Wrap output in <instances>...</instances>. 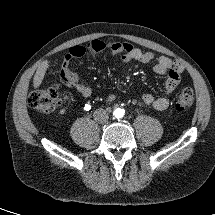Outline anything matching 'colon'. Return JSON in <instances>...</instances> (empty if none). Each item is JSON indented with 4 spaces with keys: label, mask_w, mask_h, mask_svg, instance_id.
<instances>
[{
    "label": "colon",
    "mask_w": 215,
    "mask_h": 215,
    "mask_svg": "<svg viewBox=\"0 0 215 215\" xmlns=\"http://www.w3.org/2000/svg\"><path fill=\"white\" fill-rule=\"evenodd\" d=\"M58 74L61 83L69 86L66 79L64 78V71L62 66L58 70ZM66 98H68V96L62 93L61 85H53L50 87L41 88L33 92L29 98V104L37 109L50 110L59 105L62 100ZM193 100V89L190 87L185 88L180 94V97L175 104V108L179 111L185 110L192 105Z\"/></svg>",
    "instance_id": "colon-1"
}]
</instances>
